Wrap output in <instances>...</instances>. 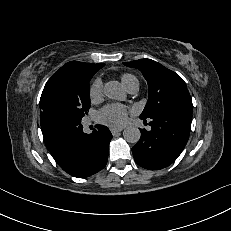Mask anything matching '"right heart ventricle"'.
I'll return each mask as SVG.
<instances>
[{
  "label": "right heart ventricle",
  "instance_id": "right-heart-ventricle-1",
  "mask_svg": "<svg viewBox=\"0 0 231 231\" xmlns=\"http://www.w3.org/2000/svg\"><path fill=\"white\" fill-rule=\"evenodd\" d=\"M121 81L123 85L128 88L132 83L136 82L137 79L135 76L129 73H125L121 76Z\"/></svg>",
  "mask_w": 231,
  "mask_h": 231
}]
</instances>
